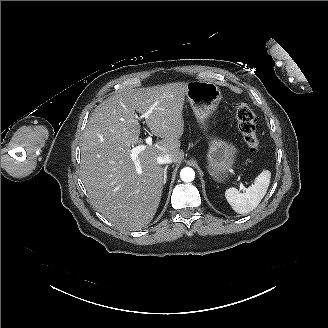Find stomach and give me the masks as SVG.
Segmentation results:
<instances>
[{"label":"stomach","instance_id":"stomach-1","mask_svg":"<svg viewBox=\"0 0 328 328\" xmlns=\"http://www.w3.org/2000/svg\"><path fill=\"white\" fill-rule=\"evenodd\" d=\"M186 97L199 124L205 122L216 110L222 95L216 83L211 81H190L186 85ZM236 147L224 140L210 138L207 153V169L214 180L221 182L227 176L236 159Z\"/></svg>","mask_w":328,"mask_h":328}]
</instances>
